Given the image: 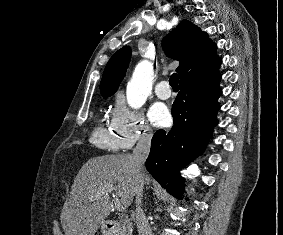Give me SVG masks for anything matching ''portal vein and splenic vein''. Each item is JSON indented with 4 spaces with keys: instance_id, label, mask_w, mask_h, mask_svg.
I'll return each instance as SVG.
<instances>
[{
    "instance_id": "18ae733b",
    "label": "portal vein and splenic vein",
    "mask_w": 283,
    "mask_h": 235,
    "mask_svg": "<svg viewBox=\"0 0 283 235\" xmlns=\"http://www.w3.org/2000/svg\"><path fill=\"white\" fill-rule=\"evenodd\" d=\"M114 189L113 185L106 187V192L111 193ZM114 206L119 212H125L126 208L123 206L122 202L119 199H115Z\"/></svg>"
}]
</instances>
